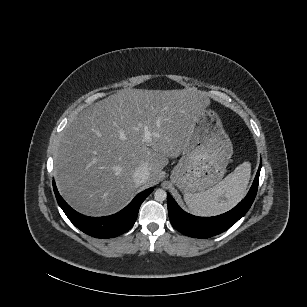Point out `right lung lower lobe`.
Listing matches in <instances>:
<instances>
[{
	"label": "right lung lower lobe",
	"mask_w": 307,
	"mask_h": 307,
	"mask_svg": "<svg viewBox=\"0 0 307 307\" xmlns=\"http://www.w3.org/2000/svg\"><path fill=\"white\" fill-rule=\"evenodd\" d=\"M58 204L69 220L84 233L96 238H112L128 231L135 223L140 205L153 191L149 188L139 193L132 202L120 212L105 217H88L73 210L60 196L53 181Z\"/></svg>",
	"instance_id": "98d812e1"
}]
</instances>
